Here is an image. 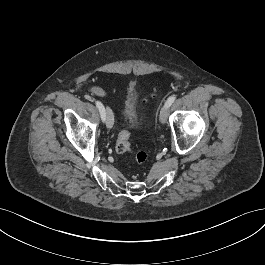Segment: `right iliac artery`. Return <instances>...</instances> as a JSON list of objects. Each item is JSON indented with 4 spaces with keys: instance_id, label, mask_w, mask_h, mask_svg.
<instances>
[{
    "instance_id": "obj_1",
    "label": "right iliac artery",
    "mask_w": 265,
    "mask_h": 265,
    "mask_svg": "<svg viewBox=\"0 0 265 265\" xmlns=\"http://www.w3.org/2000/svg\"><path fill=\"white\" fill-rule=\"evenodd\" d=\"M96 106L100 112L102 120L104 121L105 120V108L103 104L100 101H96Z\"/></svg>"
}]
</instances>
